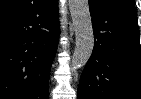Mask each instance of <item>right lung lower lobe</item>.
Here are the masks:
<instances>
[{
    "label": "right lung lower lobe",
    "mask_w": 141,
    "mask_h": 99,
    "mask_svg": "<svg viewBox=\"0 0 141 99\" xmlns=\"http://www.w3.org/2000/svg\"><path fill=\"white\" fill-rule=\"evenodd\" d=\"M59 33L57 0H27L0 14V99H48Z\"/></svg>",
    "instance_id": "right-lung-lower-lobe-1"
}]
</instances>
